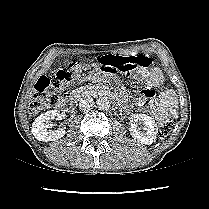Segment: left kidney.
<instances>
[{"label": "left kidney", "mask_w": 209, "mask_h": 209, "mask_svg": "<svg viewBox=\"0 0 209 209\" xmlns=\"http://www.w3.org/2000/svg\"><path fill=\"white\" fill-rule=\"evenodd\" d=\"M138 122L143 124L142 129L145 130V132L141 131V128H138ZM156 127L155 121L150 116L136 114L131 120L129 131L135 140L142 144L150 145L156 139Z\"/></svg>", "instance_id": "obj_1"}]
</instances>
